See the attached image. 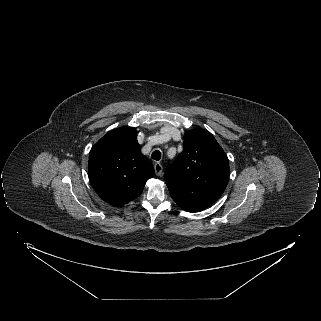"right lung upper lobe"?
Masks as SVG:
<instances>
[{"label":"right lung upper lobe","instance_id":"obj_1","mask_svg":"<svg viewBox=\"0 0 321 321\" xmlns=\"http://www.w3.org/2000/svg\"><path fill=\"white\" fill-rule=\"evenodd\" d=\"M88 173L101 199L122 206L142 193L154 168L141 154L136 129L121 127L108 132L92 147Z\"/></svg>","mask_w":321,"mask_h":321}]
</instances>
